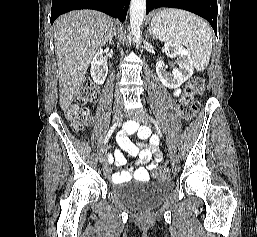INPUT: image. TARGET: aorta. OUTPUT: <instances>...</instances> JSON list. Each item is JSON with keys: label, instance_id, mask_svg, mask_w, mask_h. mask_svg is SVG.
<instances>
[{"label": "aorta", "instance_id": "obj_1", "mask_svg": "<svg viewBox=\"0 0 257 237\" xmlns=\"http://www.w3.org/2000/svg\"><path fill=\"white\" fill-rule=\"evenodd\" d=\"M146 0H131L130 3V28L133 41L138 43L141 39L142 24L144 21Z\"/></svg>", "mask_w": 257, "mask_h": 237}]
</instances>
